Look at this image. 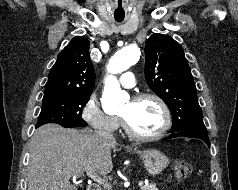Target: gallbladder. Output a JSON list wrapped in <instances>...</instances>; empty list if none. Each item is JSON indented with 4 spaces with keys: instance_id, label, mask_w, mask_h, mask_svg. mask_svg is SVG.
I'll list each match as a JSON object with an SVG mask.
<instances>
[{
    "instance_id": "bac80fb5",
    "label": "gallbladder",
    "mask_w": 238,
    "mask_h": 190,
    "mask_svg": "<svg viewBox=\"0 0 238 190\" xmlns=\"http://www.w3.org/2000/svg\"><path fill=\"white\" fill-rule=\"evenodd\" d=\"M73 190H76V186H73Z\"/></svg>"
}]
</instances>
